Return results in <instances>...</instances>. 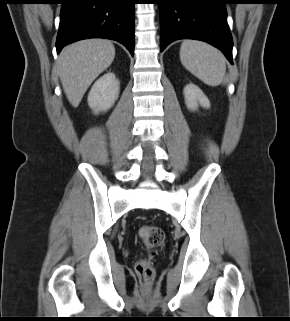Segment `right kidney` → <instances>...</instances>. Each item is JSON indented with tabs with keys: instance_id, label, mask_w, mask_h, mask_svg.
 Returning a JSON list of instances; mask_svg holds the SVG:
<instances>
[{
	"instance_id": "right-kidney-1",
	"label": "right kidney",
	"mask_w": 290,
	"mask_h": 321,
	"mask_svg": "<svg viewBox=\"0 0 290 321\" xmlns=\"http://www.w3.org/2000/svg\"><path fill=\"white\" fill-rule=\"evenodd\" d=\"M120 84L112 72L100 77L88 94V105L95 114L109 110L118 99Z\"/></svg>"
}]
</instances>
